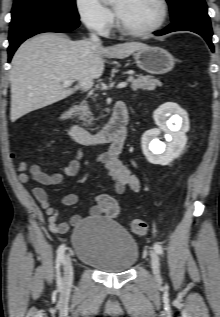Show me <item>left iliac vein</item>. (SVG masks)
Returning <instances> with one entry per match:
<instances>
[{"label": "left iliac vein", "instance_id": "left-iliac-vein-1", "mask_svg": "<svg viewBox=\"0 0 220 317\" xmlns=\"http://www.w3.org/2000/svg\"><path fill=\"white\" fill-rule=\"evenodd\" d=\"M151 267L156 279H160V260L159 256L155 251H150Z\"/></svg>", "mask_w": 220, "mask_h": 317}]
</instances>
